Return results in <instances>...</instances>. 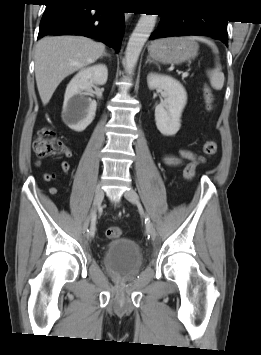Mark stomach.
Here are the masks:
<instances>
[{
    "instance_id": "stomach-1",
    "label": "stomach",
    "mask_w": 261,
    "mask_h": 355,
    "mask_svg": "<svg viewBox=\"0 0 261 355\" xmlns=\"http://www.w3.org/2000/svg\"><path fill=\"white\" fill-rule=\"evenodd\" d=\"M199 46L185 37H171L153 41L148 52L154 61L163 64H179L194 58Z\"/></svg>"
}]
</instances>
